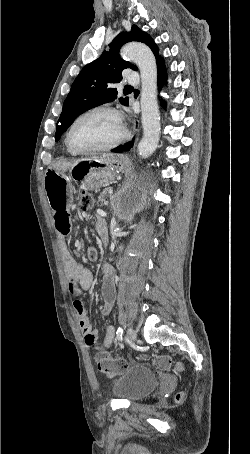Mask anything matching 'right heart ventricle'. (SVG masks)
I'll use <instances>...</instances> for the list:
<instances>
[{
    "mask_svg": "<svg viewBox=\"0 0 250 454\" xmlns=\"http://www.w3.org/2000/svg\"><path fill=\"white\" fill-rule=\"evenodd\" d=\"M65 144H66V147H67V151H68L69 153H71V154H75V152H73V151L68 147L66 139H65Z\"/></svg>",
    "mask_w": 250,
    "mask_h": 454,
    "instance_id": "e07e8e85",
    "label": "right heart ventricle"
}]
</instances>
